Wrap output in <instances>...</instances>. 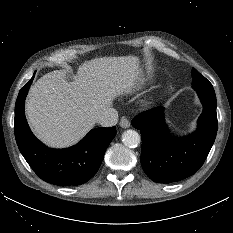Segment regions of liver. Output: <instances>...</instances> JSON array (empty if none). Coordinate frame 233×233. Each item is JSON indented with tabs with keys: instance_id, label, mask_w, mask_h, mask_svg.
I'll use <instances>...</instances> for the list:
<instances>
[{
	"instance_id": "obj_1",
	"label": "liver",
	"mask_w": 233,
	"mask_h": 233,
	"mask_svg": "<svg viewBox=\"0 0 233 233\" xmlns=\"http://www.w3.org/2000/svg\"><path fill=\"white\" fill-rule=\"evenodd\" d=\"M141 82L136 56L86 61L71 82L64 70L49 72L30 89L25 107L28 122L48 146H71L94 127L115 98L132 93Z\"/></svg>"
}]
</instances>
